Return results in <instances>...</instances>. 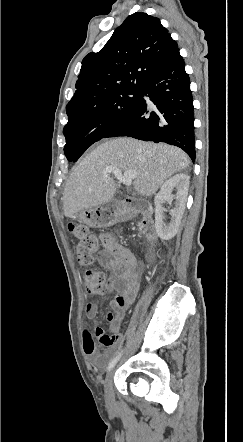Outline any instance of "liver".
<instances>
[{"label":"liver","mask_w":243,"mask_h":442,"mask_svg":"<svg viewBox=\"0 0 243 442\" xmlns=\"http://www.w3.org/2000/svg\"><path fill=\"white\" fill-rule=\"evenodd\" d=\"M190 164L181 149L132 138L106 141L86 155L72 171L63 193L66 217L109 202L116 192L112 177H105L106 167L121 171L135 170L133 186L142 196L153 195L166 179Z\"/></svg>","instance_id":"obj_1"}]
</instances>
